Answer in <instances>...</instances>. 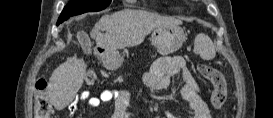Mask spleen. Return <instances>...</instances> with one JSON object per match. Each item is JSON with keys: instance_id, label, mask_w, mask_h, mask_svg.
<instances>
[{"instance_id": "spleen-1", "label": "spleen", "mask_w": 273, "mask_h": 118, "mask_svg": "<svg viewBox=\"0 0 273 118\" xmlns=\"http://www.w3.org/2000/svg\"><path fill=\"white\" fill-rule=\"evenodd\" d=\"M194 50L203 60H212L216 55L212 40L202 33L198 34L195 38Z\"/></svg>"}]
</instances>
